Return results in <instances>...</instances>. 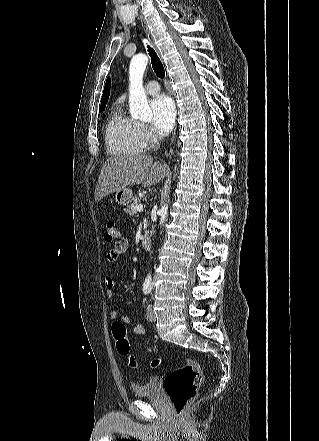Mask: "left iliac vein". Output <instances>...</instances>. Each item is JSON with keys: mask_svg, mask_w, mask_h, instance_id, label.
I'll use <instances>...</instances> for the list:
<instances>
[{"mask_svg": "<svg viewBox=\"0 0 319 441\" xmlns=\"http://www.w3.org/2000/svg\"><path fill=\"white\" fill-rule=\"evenodd\" d=\"M147 318L151 322H155L156 321V315L154 313L153 305L152 304H149L148 307H147Z\"/></svg>", "mask_w": 319, "mask_h": 441, "instance_id": "left-iliac-vein-1", "label": "left iliac vein"}]
</instances>
